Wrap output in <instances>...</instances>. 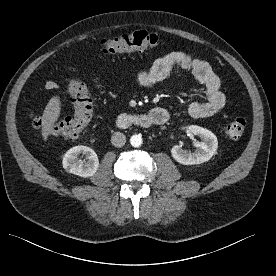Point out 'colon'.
Wrapping results in <instances>:
<instances>
[{
    "label": "colon",
    "mask_w": 276,
    "mask_h": 276,
    "mask_svg": "<svg viewBox=\"0 0 276 276\" xmlns=\"http://www.w3.org/2000/svg\"><path fill=\"white\" fill-rule=\"evenodd\" d=\"M163 40L153 33L134 31L112 38H105L100 42V51L104 54L130 52L134 50L154 49L162 46ZM68 91L73 112L51 126L50 132L63 138L77 136L91 122L93 116V102L86 85L80 80H71ZM32 124L40 129L43 125L39 115H32ZM246 128L244 118L238 117L229 122L224 128V134L231 138H240Z\"/></svg>",
    "instance_id": "1"
}]
</instances>
